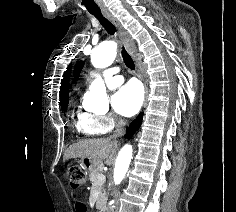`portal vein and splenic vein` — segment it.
Masks as SVG:
<instances>
[{"label":"portal vein and splenic vein","instance_id":"portal-vein-and-splenic-vein-1","mask_svg":"<svg viewBox=\"0 0 236 212\" xmlns=\"http://www.w3.org/2000/svg\"><path fill=\"white\" fill-rule=\"evenodd\" d=\"M106 177L104 175H99L98 176V182L105 181Z\"/></svg>","mask_w":236,"mask_h":212}]
</instances>
